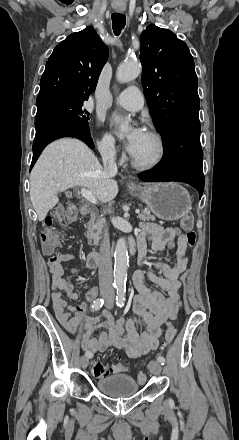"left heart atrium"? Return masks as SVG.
<instances>
[{"instance_id":"left-heart-atrium-1","label":"left heart atrium","mask_w":239,"mask_h":440,"mask_svg":"<svg viewBox=\"0 0 239 440\" xmlns=\"http://www.w3.org/2000/svg\"><path fill=\"white\" fill-rule=\"evenodd\" d=\"M146 131L138 121L132 123V127L126 138V148L129 153L134 154Z\"/></svg>"}]
</instances>
